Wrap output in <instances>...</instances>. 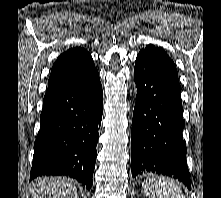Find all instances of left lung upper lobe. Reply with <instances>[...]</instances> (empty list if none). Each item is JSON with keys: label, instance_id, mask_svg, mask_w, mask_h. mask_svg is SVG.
<instances>
[{"label": "left lung upper lobe", "instance_id": "1", "mask_svg": "<svg viewBox=\"0 0 221 198\" xmlns=\"http://www.w3.org/2000/svg\"><path fill=\"white\" fill-rule=\"evenodd\" d=\"M139 53L153 58L164 68H166L172 74L177 76V70H176L174 62L170 59V57L167 55V53L163 49L155 47L150 44L146 46V48L142 49Z\"/></svg>", "mask_w": 221, "mask_h": 198}]
</instances>
